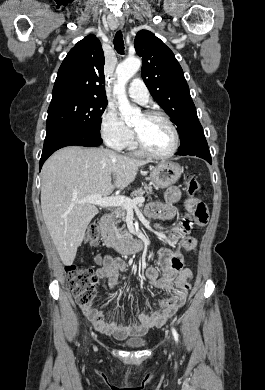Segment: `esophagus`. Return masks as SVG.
I'll return each instance as SVG.
<instances>
[{
  "label": "esophagus",
  "instance_id": "esophagus-1",
  "mask_svg": "<svg viewBox=\"0 0 265 390\" xmlns=\"http://www.w3.org/2000/svg\"><path fill=\"white\" fill-rule=\"evenodd\" d=\"M124 23H125L124 18L120 17L117 19V24L120 28L124 26Z\"/></svg>",
  "mask_w": 265,
  "mask_h": 390
}]
</instances>
